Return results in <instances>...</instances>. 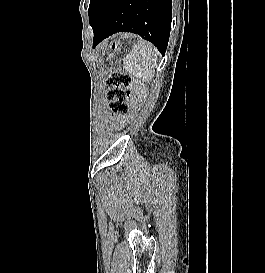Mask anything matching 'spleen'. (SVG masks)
Masks as SVG:
<instances>
[{
  "instance_id": "3e777b00",
  "label": "spleen",
  "mask_w": 265,
  "mask_h": 273,
  "mask_svg": "<svg viewBox=\"0 0 265 273\" xmlns=\"http://www.w3.org/2000/svg\"><path fill=\"white\" fill-rule=\"evenodd\" d=\"M129 72L149 82L154 76V67L156 65V52L150 43L139 41L134 45V49L128 56Z\"/></svg>"
}]
</instances>
